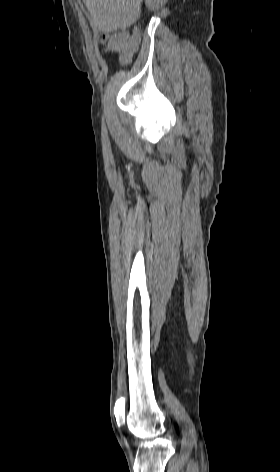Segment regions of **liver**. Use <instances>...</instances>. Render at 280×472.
<instances>
[{"label":"liver","instance_id":"1","mask_svg":"<svg viewBox=\"0 0 280 472\" xmlns=\"http://www.w3.org/2000/svg\"><path fill=\"white\" fill-rule=\"evenodd\" d=\"M142 0H84L93 28L107 34L132 25L141 13Z\"/></svg>","mask_w":280,"mask_h":472}]
</instances>
